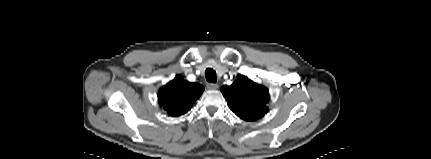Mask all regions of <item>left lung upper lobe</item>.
<instances>
[{
    "mask_svg": "<svg viewBox=\"0 0 431 159\" xmlns=\"http://www.w3.org/2000/svg\"><path fill=\"white\" fill-rule=\"evenodd\" d=\"M221 91L230 109L244 120H256L268 111V90L244 76L229 87L223 86Z\"/></svg>",
    "mask_w": 431,
    "mask_h": 159,
    "instance_id": "left-lung-upper-lobe-1",
    "label": "left lung upper lobe"
}]
</instances>
